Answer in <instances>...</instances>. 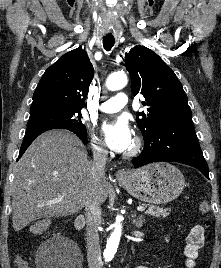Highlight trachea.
<instances>
[{
    "instance_id": "1",
    "label": "trachea",
    "mask_w": 221,
    "mask_h": 268,
    "mask_svg": "<svg viewBox=\"0 0 221 268\" xmlns=\"http://www.w3.org/2000/svg\"><path fill=\"white\" fill-rule=\"evenodd\" d=\"M114 43H115L114 38H103V46L107 51H110L112 49Z\"/></svg>"
}]
</instances>
